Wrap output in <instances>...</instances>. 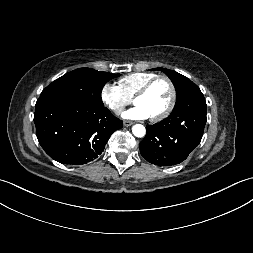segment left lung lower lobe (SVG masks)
I'll return each instance as SVG.
<instances>
[{
    "mask_svg": "<svg viewBox=\"0 0 253 253\" xmlns=\"http://www.w3.org/2000/svg\"><path fill=\"white\" fill-rule=\"evenodd\" d=\"M206 107L205 98L195 85L166 119L147 126L146 136L140 142L141 155L159 166L184 161L202 139Z\"/></svg>",
    "mask_w": 253,
    "mask_h": 253,
    "instance_id": "0a47b994",
    "label": "left lung lower lobe"
}]
</instances>
